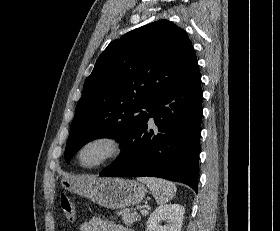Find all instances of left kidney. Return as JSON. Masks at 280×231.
<instances>
[{"label": "left kidney", "instance_id": "left-kidney-1", "mask_svg": "<svg viewBox=\"0 0 280 231\" xmlns=\"http://www.w3.org/2000/svg\"><path fill=\"white\" fill-rule=\"evenodd\" d=\"M185 207L180 203H167L160 205L152 211L145 231H181ZM167 221V225H162Z\"/></svg>", "mask_w": 280, "mask_h": 231}]
</instances>
